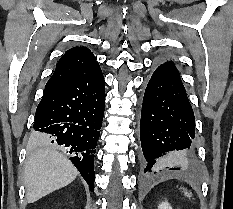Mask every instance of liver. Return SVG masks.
<instances>
[{
    "mask_svg": "<svg viewBox=\"0 0 233 209\" xmlns=\"http://www.w3.org/2000/svg\"><path fill=\"white\" fill-rule=\"evenodd\" d=\"M37 139L43 138L35 133ZM78 175L73 164L56 149L45 146L34 151L28 158L24 171V184L28 203L70 184Z\"/></svg>",
    "mask_w": 233,
    "mask_h": 209,
    "instance_id": "obj_1",
    "label": "liver"
}]
</instances>
